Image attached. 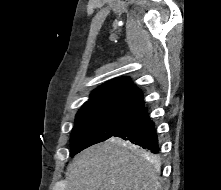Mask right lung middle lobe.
Returning a JSON list of instances; mask_svg holds the SVG:
<instances>
[{
	"label": "right lung middle lobe",
	"mask_w": 221,
	"mask_h": 190,
	"mask_svg": "<svg viewBox=\"0 0 221 190\" xmlns=\"http://www.w3.org/2000/svg\"><path fill=\"white\" fill-rule=\"evenodd\" d=\"M137 111L116 105L82 106L70 138L71 156L112 137Z\"/></svg>",
	"instance_id": "right-lung-middle-lobe-1"
}]
</instances>
